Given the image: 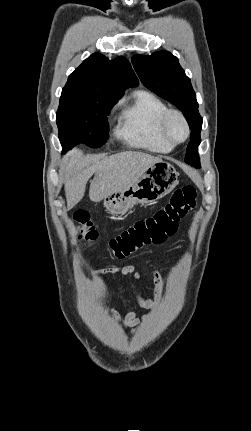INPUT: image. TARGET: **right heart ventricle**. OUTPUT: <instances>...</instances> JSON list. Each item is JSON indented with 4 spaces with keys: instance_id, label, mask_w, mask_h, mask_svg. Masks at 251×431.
Here are the masks:
<instances>
[{
    "instance_id": "right-heart-ventricle-1",
    "label": "right heart ventricle",
    "mask_w": 251,
    "mask_h": 431,
    "mask_svg": "<svg viewBox=\"0 0 251 431\" xmlns=\"http://www.w3.org/2000/svg\"><path fill=\"white\" fill-rule=\"evenodd\" d=\"M168 109L155 94L139 90L122 104L116 135L134 147L167 154L173 150L159 131V121Z\"/></svg>"
}]
</instances>
